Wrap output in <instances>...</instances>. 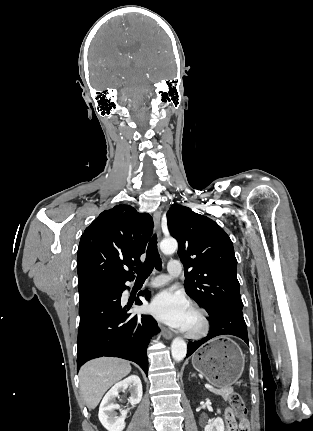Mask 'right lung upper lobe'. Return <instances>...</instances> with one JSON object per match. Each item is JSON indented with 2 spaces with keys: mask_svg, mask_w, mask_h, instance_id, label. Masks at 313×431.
Instances as JSON below:
<instances>
[{
  "mask_svg": "<svg viewBox=\"0 0 313 431\" xmlns=\"http://www.w3.org/2000/svg\"><path fill=\"white\" fill-rule=\"evenodd\" d=\"M153 230L152 217L130 205L103 211L81 236L77 255L78 288L134 279L132 267Z\"/></svg>",
  "mask_w": 313,
  "mask_h": 431,
  "instance_id": "cb5924a9",
  "label": "right lung upper lobe"
}]
</instances>
